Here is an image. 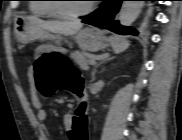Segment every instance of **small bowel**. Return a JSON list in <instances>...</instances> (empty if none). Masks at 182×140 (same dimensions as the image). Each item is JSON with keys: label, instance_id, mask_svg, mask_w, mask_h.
<instances>
[{"label": "small bowel", "instance_id": "obj_1", "mask_svg": "<svg viewBox=\"0 0 182 140\" xmlns=\"http://www.w3.org/2000/svg\"><path fill=\"white\" fill-rule=\"evenodd\" d=\"M40 54L41 52L40 51H37L36 54H35V58H39L40 57ZM30 72H32V69H30ZM30 98H31V102H32V105L33 107L36 109V116H37V119L38 121L41 123L42 125V128L44 129L45 131V134H46V138L47 140H50V132L47 130L46 126H45V122L47 120V113L46 111L42 108V103H41V100L40 98L38 97V95L35 93V91H31V95H30ZM64 126L66 129H69L70 128V124H71V116L69 115H66L64 117Z\"/></svg>", "mask_w": 182, "mask_h": 140}]
</instances>
